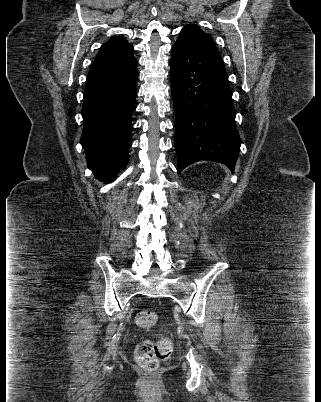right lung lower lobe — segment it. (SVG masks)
<instances>
[{
	"mask_svg": "<svg viewBox=\"0 0 321 402\" xmlns=\"http://www.w3.org/2000/svg\"><path fill=\"white\" fill-rule=\"evenodd\" d=\"M136 66L92 69L87 77L81 144L88 168L100 181H113L114 175L125 168L129 159Z\"/></svg>",
	"mask_w": 321,
	"mask_h": 402,
	"instance_id": "obj_1",
	"label": "right lung lower lobe"
}]
</instances>
